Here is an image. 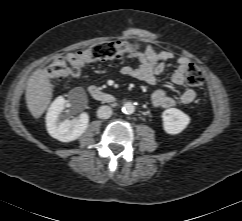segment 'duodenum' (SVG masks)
I'll use <instances>...</instances> for the list:
<instances>
[{"label":"duodenum","instance_id":"duodenum-1","mask_svg":"<svg viewBox=\"0 0 242 221\" xmlns=\"http://www.w3.org/2000/svg\"><path fill=\"white\" fill-rule=\"evenodd\" d=\"M88 90H89L90 95L96 100L104 101L107 103L115 102V98L113 95L101 90L97 86H90Z\"/></svg>","mask_w":242,"mask_h":221}]
</instances>
